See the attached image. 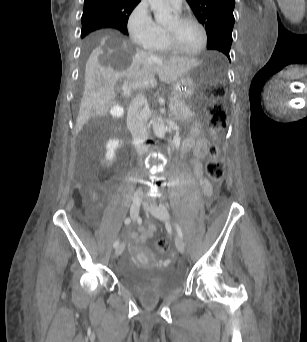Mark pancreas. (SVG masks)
Masks as SVG:
<instances>
[{
    "instance_id": "pancreas-1",
    "label": "pancreas",
    "mask_w": 307,
    "mask_h": 342,
    "mask_svg": "<svg viewBox=\"0 0 307 342\" xmlns=\"http://www.w3.org/2000/svg\"><path fill=\"white\" fill-rule=\"evenodd\" d=\"M170 100L174 103V104H179L180 103V96L179 94H171L170 95ZM194 108L192 106H179L178 109L176 111L173 112L172 116H174V118H182V117H193L194 116ZM198 116L202 115L201 111L197 112Z\"/></svg>"
}]
</instances>
